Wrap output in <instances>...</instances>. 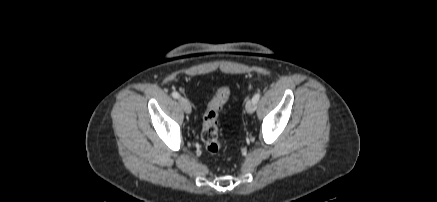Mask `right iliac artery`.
<instances>
[{"instance_id": "82829eb1", "label": "right iliac artery", "mask_w": 437, "mask_h": 202, "mask_svg": "<svg viewBox=\"0 0 437 202\" xmlns=\"http://www.w3.org/2000/svg\"><path fill=\"white\" fill-rule=\"evenodd\" d=\"M172 96H173L175 99H178V98L180 97L179 93L176 92V91H174V92L172 93Z\"/></svg>"}]
</instances>
